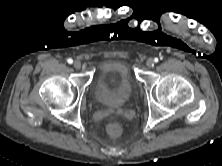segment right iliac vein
I'll use <instances>...</instances> for the list:
<instances>
[{
	"mask_svg": "<svg viewBox=\"0 0 222 166\" xmlns=\"http://www.w3.org/2000/svg\"><path fill=\"white\" fill-rule=\"evenodd\" d=\"M73 66H74V68H76V69H80V68H81V63H80V61H75V62L73 63Z\"/></svg>",
	"mask_w": 222,
	"mask_h": 166,
	"instance_id": "right-iliac-vein-1",
	"label": "right iliac vein"
}]
</instances>
